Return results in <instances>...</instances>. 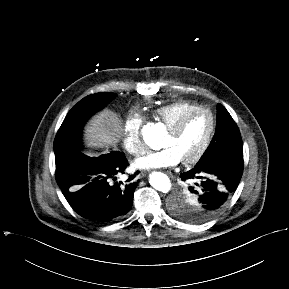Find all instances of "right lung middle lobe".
I'll return each mask as SVG.
<instances>
[{"instance_id":"obj_1","label":"right lung middle lobe","mask_w":289,"mask_h":289,"mask_svg":"<svg viewBox=\"0 0 289 289\" xmlns=\"http://www.w3.org/2000/svg\"><path fill=\"white\" fill-rule=\"evenodd\" d=\"M115 95V93L89 95L69 111L55 137V158L81 147V131L85 121L102 109Z\"/></svg>"}]
</instances>
